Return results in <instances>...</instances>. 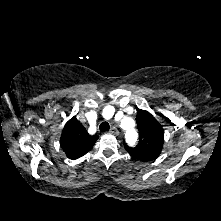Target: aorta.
Here are the masks:
<instances>
[{"label":"aorta","mask_w":221,"mask_h":221,"mask_svg":"<svg viewBox=\"0 0 221 221\" xmlns=\"http://www.w3.org/2000/svg\"><path fill=\"white\" fill-rule=\"evenodd\" d=\"M129 124V126H127ZM121 126L126 130V139L129 144H133L137 139V132L134 129V123L129 118L121 120Z\"/></svg>","instance_id":"762f6f07"}]
</instances>
